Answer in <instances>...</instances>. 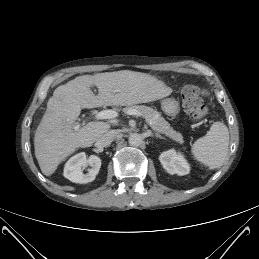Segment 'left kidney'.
Listing matches in <instances>:
<instances>
[{"label":"left kidney","mask_w":259,"mask_h":259,"mask_svg":"<svg viewBox=\"0 0 259 259\" xmlns=\"http://www.w3.org/2000/svg\"><path fill=\"white\" fill-rule=\"evenodd\" d=\"M163 168L170 174L186 175L190 171L188 162L183 155L174 149L163 152L159 156Z\"/></svg>","instance_id":"5707ae66"}]
</instances>
